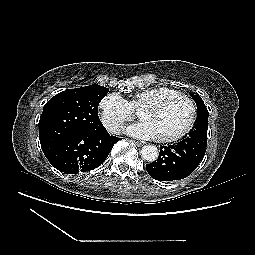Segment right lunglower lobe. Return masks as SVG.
Wrapping results in <instances>:
<instances>
[{
  "instance_id": "right-lung-lower-lobe-1",
  "label": "right lung lower lobe",
  "mask_w": 255,
  "mask_h": 255,
  "mask_svg": "<svg viewBox=\"0 0 255 255\" xmlns=\"http://www.w3.org/2000/svg\"><path fill=\"white\" fill-rule=\"evenodd\" d=\"M119 140L110 136L106 129L98 133L75 132L45 156L56 169L77 174L101 165Z\"/></svg>"
}]
</instances>
